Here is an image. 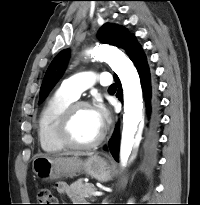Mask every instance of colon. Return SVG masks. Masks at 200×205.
Returning a JSON list of instances; mask_svg holds the SVG:
<instances>
[{
  "instance_id": "obj_1",
  "label": "colon",
  "mask_w": 200,
  "mask_h": 205,
  "mask_svg": "<svg viewBox=\"0 0 200 205\" xmlns=\"http://www.w3.org/2000/svg\"><path fill=\"white\" fill-rule=\"evenodd\" d=\"M37 200L39 202L38 205H56L55 197L52 192L47 188H41L37 191Z\"/></svg>"
}]
</instances>
